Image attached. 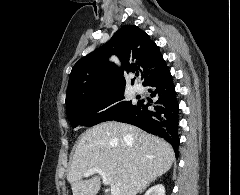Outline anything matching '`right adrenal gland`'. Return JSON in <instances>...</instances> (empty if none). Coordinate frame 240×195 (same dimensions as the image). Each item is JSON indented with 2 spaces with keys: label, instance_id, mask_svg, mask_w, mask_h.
Wrapping results in <instances>:
<instances>
[{
  "label": "right adrenal gland",
  "instance_id": "1",
  "mask_svg": "<svg viewBox=\"0 0 240 195\" xmlns=\"http://www.w3.org/2000/svg\"><path fill=\"white\" fill-rule=\"evenodd\" d=\"M153 181H155V179H153ZM149 183H151V181H149ZM149 183H146V185H144V187H142L140 193H142V191H144L145 187H147V185H149Z\"/></svg>",
  "mask_w": 240,
  "mask_h": 195
}]
</instances>
